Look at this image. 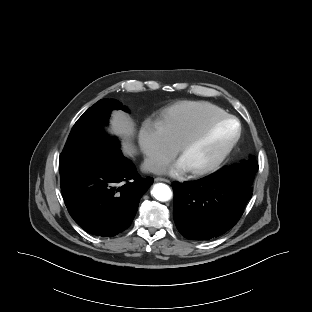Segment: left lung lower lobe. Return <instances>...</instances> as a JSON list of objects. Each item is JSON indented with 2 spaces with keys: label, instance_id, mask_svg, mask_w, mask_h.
I'll list each match as a JSON object with an SVG mask.
<instances>
[{
  "label": "left lung lower lobe",
  "instance_id": "obj_1",
  "mask_svg": "<svg viewBox=\"0 0 312 312\" xmlns=\"http://www.w3.org/2000/svg\"><path fill=\"white\" fill-rule=\"evenodd\" d=\"M173 217L179 232L190 240L224 234L241 217L252 187L225 170L191 182H174Z\"/></svg>",
  "mask_w": 312,
  "mask_h": 312
}]
</instances>
